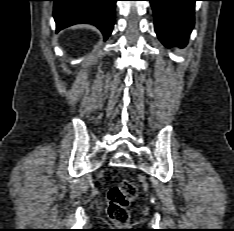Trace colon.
Here are the masks:
<instances>
[{"label":"colon","instance_id":"1","mask_svg":"<svg viewBox=\"0 0 234 231\" xmlns=\"http://www.w3.org/2000/svg\"><path fill=\"white\" fill-rule=\"evenodd\" d=\"M136 195L135 185L127 179L111 187L107 194L106 206L109 218L119 226H127L130 220L128 207Z\"/></svg>","mask_w":234,"mask_h":231}]
</instances>
